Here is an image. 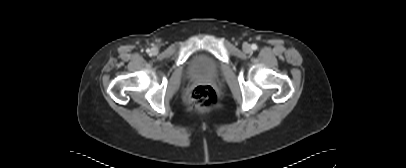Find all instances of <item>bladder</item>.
I'll return each instance as SVG.
<instances>
[{
  "mask_svg": "<svg viewBox=\"0 0 406 168\" xmlns=\"http://www.w3.org/2000/svg\"><path fill=\"white\" fill-rule=\"evenodd\" d=\"M219 72L217 61L207 54L196 55L188 66V74L194 78L213 77Z\"/></svg>",
  "mask_w": 406,
  "mask_h": 168,
  "instance_id": "31cf9c89",
  "label": "bladder"
}]
</instances>
